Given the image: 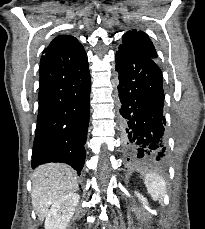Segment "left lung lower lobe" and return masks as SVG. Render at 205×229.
<instances>
[{"label": "left lung lower lobe", "mask_w": 205, "mask_h": 229, "mask_svg": "<svg viewBox=\"0 0 205 229\" xmlns=\"http://www.w3.org/2000/svg\"><path fill=\"white\" fill-rule=\"evenodd\" d=\"M122 144L131 157L161 163L167 156L162 72L157 62L124 45L116 52ZM129 160V158L127 159Z\"/></svg>", "instance_id": "left-lung-lower-lobe-1"}]
</instances>
